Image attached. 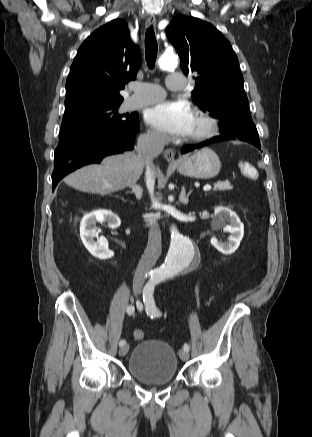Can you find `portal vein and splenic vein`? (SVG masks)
<instances>
[{"label": "portal vein and splenic vein", "instance_id": "portal-vein-and-splenic-vein-1", "mask_svg": "<svg viewBox=\"0 0 312 437\" xmlns=\"http://www.w3.org/2000/svg\"><path fill=\"white\" fill-rule=\"evenodd\" d=\"M204 191H208V190H210L211 189V185H206V186H204Z\"/></svg>", "mask_w": 312, "mask_h": 437}]
</instances>
